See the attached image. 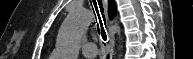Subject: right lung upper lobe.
Instances as JSON below:
<instances>
[{"instance_id": "obj_1", "label": "right lung upper lobe", "mask_w": 193, "mask_h": 59, "mask_svg": "<svg viewBox=\"0 0 193 59\" xmlns=\"http://www.w3.org/2000/svg\"><path fill=\"white\" fill-rule=\"evenodd\" d=\"M109 13L111 18L115 17L116 15V6L114 0H109Z\"/></svg>"}]
</instances>
